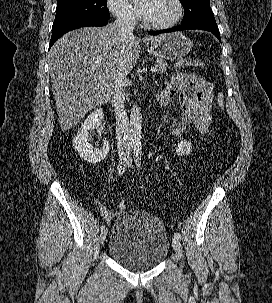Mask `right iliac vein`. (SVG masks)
I'll list each match as a JSON object with an SVG mask.
<instances>
[{
  "mask_svg": "<svg viewBox=\"0 0 272 303\" xmlns=\"http://www.w3.org/2000/svg\"><path fill=\"white\" fill-rule=\"evenodd\" d=\"M121 161L125 160V157L124 156H121L120 158ZM107 229L101 231V234H100V242L103 244L104 241L106 240V237H107Z\"/></svg>",
  "mask_w": 272,
  "mask_h": 303,
  "instance_id": "right-iliac-vein-1",
  "label": "right iliac vein"
}]
</instances>
